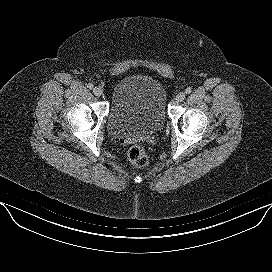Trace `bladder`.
Here are the masks:
<instances>
[{
  "label": "bladder",
  "instance_id": "1",
  "mask_svg": "<svg viewBox=\"0 0 272 272\" xmlns=\"http://www.w3.org/2000/svg\"><path fill=\"white\" fill-rule=\"evenodd\" d=\"M164 84L145 73L122 77L113 87L107 128L117 138L159 131L167 118Z\"/></svg>",
  "mask_w": 272,
  "mask_h": 272
}]
</instances>
